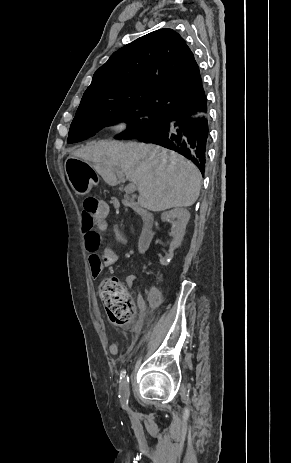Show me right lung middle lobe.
<instances>
[{"mask_svg":"<svg viewBox=\"0 0 291 463\" xmlns=\"http://www.w3.org/2000/svg\"><path fill=\"white\" fill-rule=\"evenodd\" d=\"M165 117L164 113L132 101H114L77 109L71 123L68 143L83 141L100 129L119 121L128 124L126 131L118 139H135L158 127Z\"/></svg>","mask_w":291,"mask_h":463,"instance_id":"obj_1","label":"right lung middle lobe"}]
</instances>
